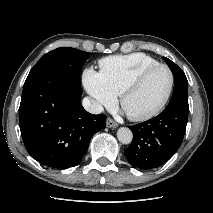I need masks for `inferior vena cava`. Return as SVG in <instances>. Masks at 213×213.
Returning <instances> with one entry per match:
<instances>
[{"label":"inferior vena cava","mask_w":213,"mask_h":213,"mask_svg":"<svg viewBox=\"0 0 213 213\" xmlns=\"http://www.w3.org/2000/svg\"><path fill=\"white\" fill-rule=\"evenodd\" d=\"M82 106L85 108L86 111L92 114H100L103 112V106L94 99H90L85 97L82 101Z\"/></svg>","instance_id":"1"}]
</instances>
